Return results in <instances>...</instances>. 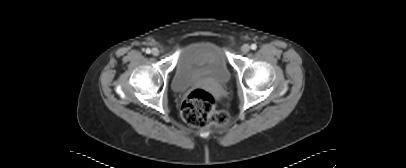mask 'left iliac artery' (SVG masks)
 I'll return each instance as SVG.
<instances>
[{"mask_svg": "<svg viewBox=\"0 0 406 168\" xmlns=\"http://www.w3.org/2000/svg\"><path fill=\"white\" fill-rule=\"evenodd\" d=\"M256 48H257V45H256V44H252V45H251V49H252V50H256Z\"/></svg>", "mask_w": 406, "mask_h": 168, "instance_id": "44dca946", "label": "left iliac artery"}]
</instances>
